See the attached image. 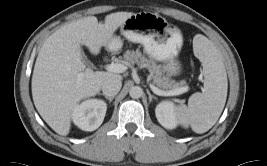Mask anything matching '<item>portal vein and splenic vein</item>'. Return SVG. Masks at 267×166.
<instances>
[{
	"label": "portal vein and splenic vein",
	"instance_id": "18ae733b",
	"mask_svg": "<svg viewBox=\"0 0 267 166\" xmlns=\"http://www.w3.org/2000/svg\"><path fill=\"white\" fill-rule=\"evenodd\" d=\"M105 69L109 72L123 73L126 71V66L121 64V63H111V64H107L105 66ZM150 87H151L152 91L159 96H174V95L182 94V93L187 92L189 90L188 86L180 87L178 89H174V90H170V91L161 90L152 84L150 85Z\"/></svg>",
	"mask_w": 267,
	"mask_h": 166
}]
</instances>
